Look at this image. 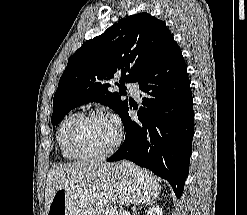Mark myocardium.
<instances>
[{"instance_id": "1", "label": "myocardium", "mask_w": 247, "mask_h": 215, "mask_svg": "<svg viewBox=\"0 0 247 215\" xmlns=\"http://www.w3.org/2000/svg\"><path fill=\"white\" fill-rule=\"evenodd\" d=\"M90 119H105L109 120L107 115L100 111H90L83 114L78 115V117L74 120L73 124L70 127L68 141H69V148L71 153L80 160L85 161H101L109 158L113 155L116 150L119 148L121 141H122V133L121 130L117 127L116 128V138L113 144L107 149L105 152L102 153H88L81 149L79 142H78V132L81 125Z\"/></svg>"}]
</instances>
